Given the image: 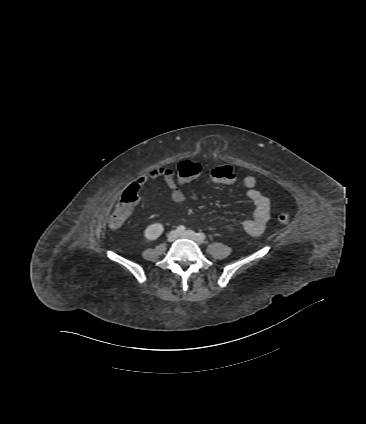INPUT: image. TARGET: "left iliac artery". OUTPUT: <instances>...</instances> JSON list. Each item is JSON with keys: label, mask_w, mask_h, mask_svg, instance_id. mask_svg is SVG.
I'll use <instances>...</instances> for the list:
<instances>
[{"label": "left iliac artery", "mask_w": 366, "mask_h": 424, "mask_svg": "<svg viewBox=\"0 0 366 424\" xmlns=\"http://www.w3.org/2000/svg\"><path fill=\"white\" fill-rule=\"evenodd\" d=\"M197 236L201 239V240H204L205 238H206V236H205V234L204 233H198L197 234Z\"/></svg>", "instance_id": "left-iliac-artery-1"}]
</instances>
